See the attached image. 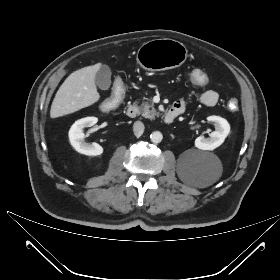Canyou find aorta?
<instances>
[{
  "mask_svg": "<svg viewBox=\"0 0 280 280\" xmlns=\"http://www.w3.org/2000/svg\"><path fill=\"white\" fill-rule=\"evenodd\" d=\"M150 139L153 143H160L163 139V135L160 131H154L151 133Z\"/></svg>",
  "mask_w": 280,
  "mask_h": 280,
  "instance_id": "762f6f07",
  "label": "aorta"
}]
</instances>
